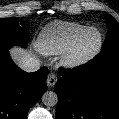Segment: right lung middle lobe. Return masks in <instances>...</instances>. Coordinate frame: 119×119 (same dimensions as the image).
Segmentation results:
<instances>
[{
  "label": "right lung middle lobe",
  "instance_id": "1",
  "mask_svg": "<svg viewBox=\"0 0 119 119\" xmlns=\"http://www.w3.org/2000/svg\"><path fill=\"white\" fill-rule=\"evenodd\" d=\"M19 19L16 17L0 19V42L10 45L26 47L28 43V33L18 25Z\"/></svg>",
  "mask_w": 119,
  "mask_h": 119
}]
</instances>
